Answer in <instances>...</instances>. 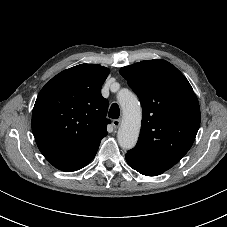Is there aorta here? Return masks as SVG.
Listing matches in <instances>:
<instances>
[{"instance_id": "aorta-1", "label": "aorta", "mask_w": 227, "mask_h": 227, "mask_svg": "<svg viewBox=\"0 0 227 227\" xmlns=\"http://www.w3.org/2000/svg\"><path fill=\"white\" fill-rule=\"evenodd\" d=\"M118 101L122 109L123 118L118 130V143L123 149H132L138 140L142 110L135 94L129 90L118 94Z\"/></svg>"}]
</instances>
